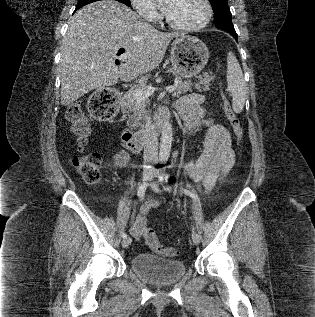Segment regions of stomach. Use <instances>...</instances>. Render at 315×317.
<instances>
[{
  "instance_id": "obj_1",
  "label": "stomach",
  "mask_w": 315,
  "mask_h": 317,
  "mask_svg": "<svg viewBox=\"0 0 315 317\" xmlns=\"http://www.w3.org/2000/svg\"><path fill=\"white\" fill-rule=\"evenodd\" d=\"M172 72L179 78H191L198 75L209 59L206 45L196 37L176 38L171 47Z\"/></svg>"
}]
</instances>
